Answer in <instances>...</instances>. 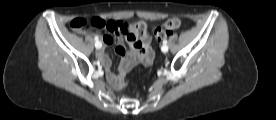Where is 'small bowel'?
<instances>
[{
    "mask_svg": "<svg viewBox=\"0 0 276 120\" xmlns=\"http://www.w3.org/2000/svg\"><path fill=\"white\" fill-rule=\"evenodd\" d=\"M108 27L105 29L107 32L105 35L101 36V40L106 46L114 43V36H117V48L116 53L121 57V62L119 65V74L113 75L109 74V81L113 84H117L118 81L137 63L141 62L144 64L151 63L153 59V50L151 47V41L147 37L143 39L129 40L126 38V42L129 46V50L126 48L125 40L121 36V26L123 25L119 21H107ZM99 60L105 64L108 68L110 67V62L105 55L104 51L98 52Z\"/></svg>",
    "mask_w": 276,
    "mask_h": 120,
    "instance_id": "c3829d8e",
    "label": "small bowel"
}]
</instances>
